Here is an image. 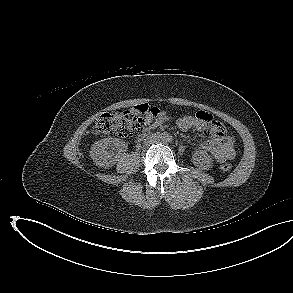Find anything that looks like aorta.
I'll list each match as a JSON object with an SVG mask.
<instances>
[{
	"mask_svg": "<svg viewBox=\"0 0 293 293\" xmlns=\"http://www.w3.org/2000/svg\"><path fill=\"white\" fill-rule=\"evenodd\" d=\"M160 138L163 142H168L170 140V136L167 133H163Z\"/></svg>",
	"mask_w": 293,
	"mask_h": 293,
	"instance_id": "1",
	"label": "aorta"
}]
</instances>
